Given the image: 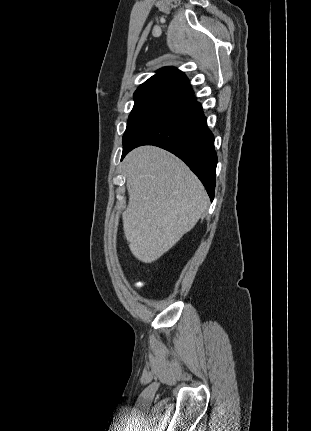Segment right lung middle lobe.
Returning a JSON list of instances; mask_svg holds the SVG:
<instances>
[{"mask_svg": "<svg viewBox=\"0 0 311 431\" xmlns=\"http://www.w3.org/2000/svg\"><path fill=\"white\" fill-rule=\"evenodd\" d=\"M180 99L176 95L155 90L136 91L134 93L135 104L123 135V148L147 122Z\"/></svg>", "mask_w": 311, "mask_h": 431, "instance_id": "1", "label": "right lung middle lobe"}]
</instances>
